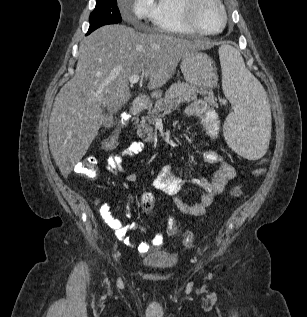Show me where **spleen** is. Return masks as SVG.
Returning a JSON list of instances; mask_svg holds the SVG:
<instances>
[{"mask_svg":"<svg viewBox=\"0 0 307 317\" xmlns=\"http://www.w3.org/2000/svg\"><path fill=\"white\" fill-rule=\"evenodd\" d=\"M219 57L224 94L235 103V112L224 124V137L237 155L255 160L266 151L273 107L264 87L246 69L239 51L222 45Z\"/></svg>","mask_w":307,"mask_h":317,"instance_id":"obj_1","label":"spleen"}]
</instances>
